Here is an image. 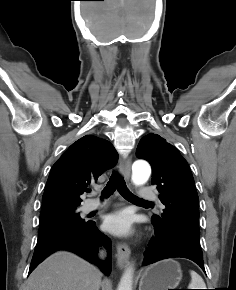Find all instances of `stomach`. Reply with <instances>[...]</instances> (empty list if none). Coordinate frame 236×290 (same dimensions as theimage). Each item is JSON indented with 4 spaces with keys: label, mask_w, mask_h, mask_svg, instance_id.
Returning a JSON list of instances; mask_svg holds the SVG:
<instances>
[{
    "label": "stomach",
    "mask_w": 236,
    "mask_h": 290,
    "mask_svg": "<svg viewBox=\"0 0 236 290\" xmlns=\"http://www.w3.org/2000/svg\"><path fill=\"white\" fill-rule=\"evenodd\" d=\"M182 279L180 264L172 259L155 263L141 276L139 290L176 289Z\"/></svg>",
    "instance_id": "1"
}]
</instances>
